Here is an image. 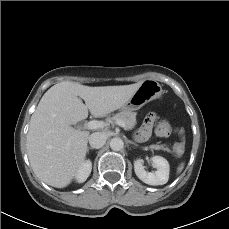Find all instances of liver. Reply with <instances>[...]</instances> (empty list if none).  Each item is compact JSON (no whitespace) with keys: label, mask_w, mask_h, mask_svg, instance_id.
Wrapping results in <instances>:
<instances>
[{"label":"liver","mask_w":229,"mask_h":229,"mask_svg":"<svg viewBox=\"0 0 229 229\" xmlns=\"http://www.w3.org/2000/svg\"><path fill=\"white\" fill-rule=\"evenodd\" d=\"M141 83L91 87L64 81L52 86L32 114L27 133V154L35 175L56 188L69 185L85 161L89 139L88 131L71 125L86 119L88 111L104 117L120 109Z\"/></svg>","instance_id":"liver-1"}]
</instances>
